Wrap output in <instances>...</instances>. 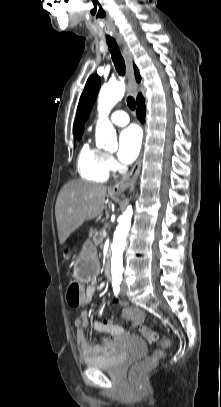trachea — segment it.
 <instances>
[{
	"mask_svg": "<svg viewBox=\"0 0 221 407\" xmlns=\"http://www.w3.org/2000/svg\"><path fill=\"white\" fill-rule=\"evenodd\" d=\"M106 42L109 47V52L111 54L112 61L114 63V66L118 72L119 75L124 76L125 75V61L120 53L119 47L112 37H106ZM127 104L131 110H135L136 104L135 100L133 97L129 96L127 98Z\"/></svg>",
	"mask_w": 221,
	"mask_h": 407,
	"instance_id": "3493384b",
	"label": "trachea"
}]
</instances>
